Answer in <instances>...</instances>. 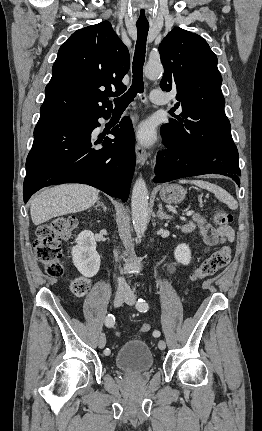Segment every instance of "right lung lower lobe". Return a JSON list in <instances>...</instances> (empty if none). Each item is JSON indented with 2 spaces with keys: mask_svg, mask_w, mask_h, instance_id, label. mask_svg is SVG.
<instances>
[{
  "mask_svg": "<svg viewBox=\"0 0 262 431\" xmlns=\"http://www.w3.org/2000/svg\"><path fill=\"white\" fill-rule=\"evenodd\" d=\"M101 116L42 117L26 161L24 202L39 189L63 183H82L126 201L135 168V137L129 118H123L108 137L94 139ZM102 144V148L96 145Z\"/></svg>",
  "mask_w": 262,
  "mask_h": 431,
  "instance_id": "98d812e1",
  "label": "right lung lower lobe"
}]
</instances>
